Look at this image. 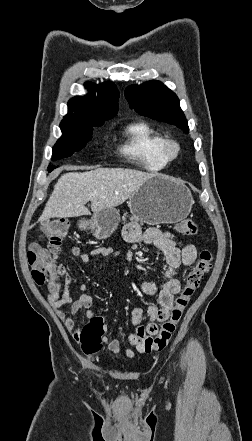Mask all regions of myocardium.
Segmentation results:
<instances>
[{
    "label": "myocardium",
    "instance_id": "obj_1",
    "mask_svg": "<svg viewBox=\"0 0 252 441\" xmlns=\"http://www.w3.org/2000/svg\"><path fill=\"white\" fill-rule=\"evenodd\" d=\"M180 151V144L176 140L163 138L160 145V153L167 161L176 159L179 156Z\"/></svg>",
    "mask_w": 252,
    "mask_h": 441
}]
</instances>
